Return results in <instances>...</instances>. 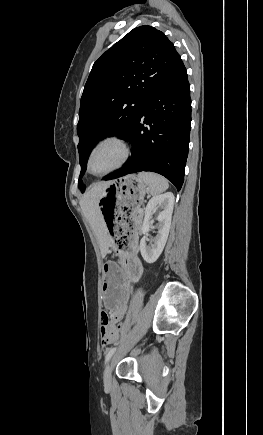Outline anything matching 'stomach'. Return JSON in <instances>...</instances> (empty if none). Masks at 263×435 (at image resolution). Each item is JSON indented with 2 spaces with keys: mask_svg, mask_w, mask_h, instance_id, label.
<instances>
[{
  "mask_svg": "<svg viewBox=\"0 0 263 435\" xmlns=\"http://www.w3.org/2000/svg\"><path fill=\"white\" fill-rule=\"evenodd\" d=\"M147 188L136 175L113 180L100 196L98 205L105 224L103 233H109L110 246L118 260H105L103 267V310H118L129 305L131 288L136 286L142 272L131 261L132 247L137 246L139 224L136 209L142 203Z\"/></svg>",
  "mask_w": 263,
  "mask_h": 435,
  "instance_id": "stomach-1",
  "label": "stomach"
}]
</instances>
